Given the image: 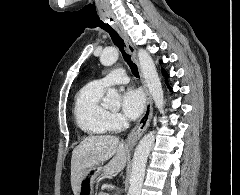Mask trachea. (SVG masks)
I'll return each instance as SVG.
<instances>
[{"instance_id": "obj_1", "label": "trachea", "mask_w": 240, "mask_h": 195, "mask_svg": "<svg viewBox=\"0 0 240 195\" xmlns=\"http://www.w3.org/2000/svg\"><path fill=\"white\" fill-rule=\"evenodd\" d=\"M101 28L109 33L114 45H116L119 48L120 52L122 53V56H123L124 60L126 61V63L131 68V71H132L133 75L135 77L139 78V72H138L137 65H135L132 62L131 55L126 53V51L124 50V46H125L124 45V40L121 38V36L117 33L116 30H114V28H111L109 25L102 26Z\"/></svg>"}]
</instances>
